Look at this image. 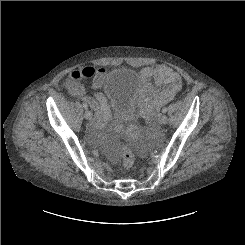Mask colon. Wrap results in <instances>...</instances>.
I'll return each instance as SVG.
<instances>
[{"instance_id":"colon-1","label":"colon","mask_w":245,"mask_h":245,"mask_svg":"<svg viewBox=\"0 0 245 245\" xmlns=\"http://www.w3.org/2000/svg\"><path fill=\"white\" fill-rule=\"evenodd\" d=\"M133 163H134V155L132 151L128 148H124L118 162L119 170L126 171L130 169Z\"/></svg>"}]
</instances>
